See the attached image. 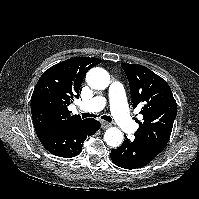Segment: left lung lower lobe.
I'll return each instance as SVG.
<instances>
[{"label": "left lung lower lobe", "mask_w": 199, "mask_h": 199, "mask_svg": "<svg viewBox=\"0 0 199 199\" xmlns=\"http://www.w3.org/2000/svg\"><path fill=\"white\" fill-rule=\"evenodd\" d=\"M160 152L162 150L136 136L133 140L125 137L123 144L111 151V159L121 168L136 169L146 166Z\"/></svg>", "instance_id": "1"}]
</instances>
